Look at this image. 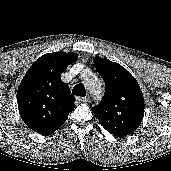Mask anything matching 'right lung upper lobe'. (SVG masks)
Listing matches in <instances>:
<instances>
[{
	"instance_id": "right-lung-upper-lobe-1",
	"label": "right lung upper lobe",
	"mask_w": 171,
	"mask_h": 171,
	"mask_svg": "<svg viewBox=\"0 0 171 171\" xmlns=\"http://www.w3.org/2000/svg\"><path fill=\"white\" fill-rule=\"evenodd\" d=\"M73 53H48L27 71L17 91V102L25 124L42 135H50L67 120L75 98L61 74L76 59Z\"/></svg>"
}]
</instances>
